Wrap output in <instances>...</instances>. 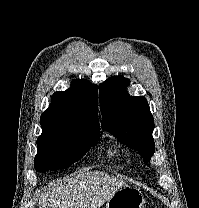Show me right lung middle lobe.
Wrapping results in <instances>:
<instances>
[{"label": "right lung middle lobe", "mask_w": 199, "mask_h": 208, "mask_svg": "<svg viewBox=\"0 0 199 208\" xmlns=\"http://www.w3.org/2000/svg\"><path fill=\"white\" fill-rule=\"evenodd\" d=\"M37 139L38 152L34 159L37 171L66 169L79 161L94 146L100 135L98 129H59L42 126Z\"/></svg>", "instance_id": "dd1d6c3e"}]
</instances>
